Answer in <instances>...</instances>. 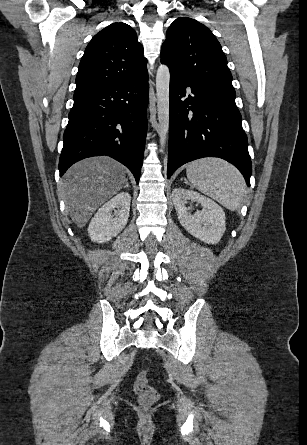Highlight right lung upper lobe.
I'll return each mask as SVG.
<instances>
[{"label":"right lung upper lobe","instance_id":"1","mask_svg":"<svg viewBox=\"0 0 307 445\" xmlns=\"http://www.w3.org/2000/svg\"><path fill=\"white\" fill-rule=\"evenodd\" d=\"M146 63L135 30L126 23H113L86 47L74 93L123 82L147 71Z\"/></svg>","mask_w":307,"mask_h":445}]
</instances>
